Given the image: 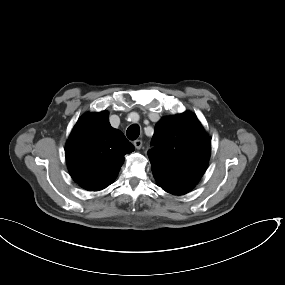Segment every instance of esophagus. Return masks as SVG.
Listing matches in <instances>:
<instances>
[{
    "instance_id": "34e87169",
    "label": "esophagus",
    "mask_w": 285,
    "mask_h": 285,
    "mask_svg": "<svg viewBox=\"0 0 285 285\" xmlns=\"http://www.w3.org/2000/svg\"><path fill=\"white\" fill-rule=\"evenodd\" d=\"M143 142L141 140H135L134 146L136 149H140L142 147Z\"/></svg>"
}]
</instances>
